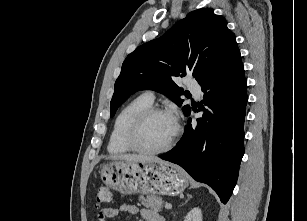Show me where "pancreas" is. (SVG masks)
<instances>
[{
    "mask_svg": "<svg viewBox=\"0 0 307 221\" xmlns=\"http://www.w3.org/2000/svg\"><path fill=\"white\" fill-rule=\"evenodd\" d=\"M139 200L144 207L150 208L151 210L161 211L163 208L162 199L154 194L148 195L146 198L144 196H140Z\"/></svg>",
    "mask_w": 307,
    "mask_h": 221,
    "instance_id": "pancreas-1",
    "label": "pancreas"
}]
</instances>
